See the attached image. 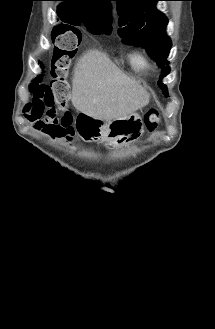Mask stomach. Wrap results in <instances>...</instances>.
I'll return each instance as SVG.
<instances>
[{
	"label": "stomach",
	"instance_id": "0dacf381",
	"mask_svg": "<svg viewBox=\"0 0 215 329\" xmlns=\"http://www.w3.org/2000/svg\"><path fill=\"white\" fill-rule=\"evenodd\" d=\"M99 136L95 141L105 142L110 146L119 147L138 140L143 132V122L138 113L103 122L97 131Z\"/></svg>",
	"mask_w": 215,
	"mask_h": 329
}]
</instances>
